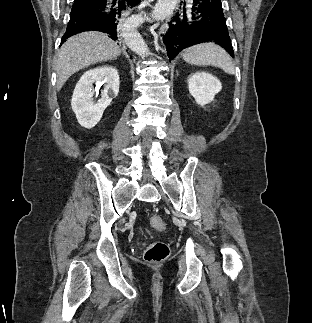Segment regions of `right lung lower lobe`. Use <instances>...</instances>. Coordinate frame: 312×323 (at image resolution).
Segmentation results:
<instances>
[{
  "mask_svg": "<svg viewBox=\"0 0 312 323\" xmlns=\"http://www.w3.org/2000/svg\"><path fill=\"white\" fill-rule=\"evenodd\" d=\"M140 0H75L61 44L82 31H100L118 40L125 25L126 13Z\"/></svg>",
  "mask_w": 312,
  "mask_h": 323,
  "instance_id": "right-lung-lower-lobe-1",
  "label": "right lung lower lobe"
}]
</instances>
